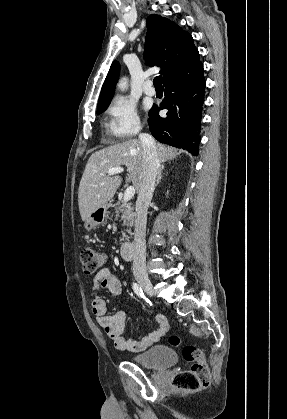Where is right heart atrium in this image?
I'll list each match as a JSON object with an SVG mask.
<instances>
[{"mask_svg": "<svg viewBox=\"0 0 287 419\" xmlns=\"http://www.w3.org/2000/svg\"><path fill=\"white\" fill-rule=\"evenodd\" d=\"M108 131L116 138H127L140 130V120L133 102L123 96H116L107 108Z\"/></svg>", "mask_w": 287, "mask_h": 419, "instance_id": "obj_1", "label": "right heart atrium"}]
</instances>
